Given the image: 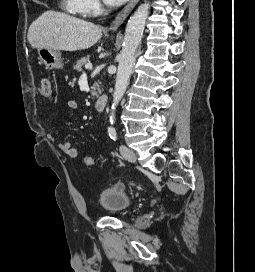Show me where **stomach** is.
Listing matches in <instances>:
<instances>
[{
    "instance_id": "stomach-1",
    "label": "stomach",
    "mask_w": 255,
    "mask_h": 272,
    "mask_svg": "<svg viewBox=\"0 0 255 272\" xmlns=\"http://www.w3.org/2000/svg\"><path fill=\"white\" fill-rule=\"evenodd\" d=\"M39 60L47 69H60L62 67L61 53L49 48L38 49Z\"/></svg>"
}]
</instances>
